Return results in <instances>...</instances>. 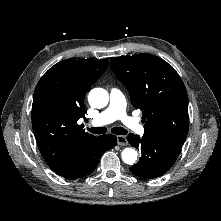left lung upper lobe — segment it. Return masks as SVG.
<instances>
[{"mask_svg": "<svg viewBox=\"0 0 221 221\" xmlns=\"http://www.w3.org/2000/svg\"><path fill=\"white\" fill-rule=\"evenodd\" d=\"M113 72L143 111L144 134L184 143L189 127L188 96L175 69L163 59L142 53L111 58Z\"/></svg>", "mask_w": 221, "mask_h": 221, "instance_id": "5c2ea615", "label": "left lung upper lobe"}]
</instances>
